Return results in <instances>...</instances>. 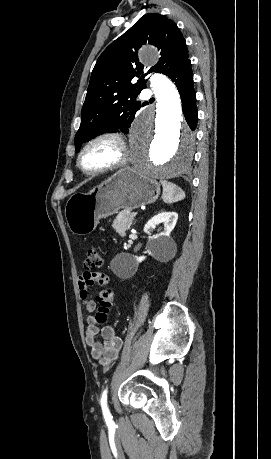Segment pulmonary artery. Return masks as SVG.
<instances>
[{
  "label": "pulmonary artery",
  "mask_w": 271,
  "mask_h": 459,
  "mask_svg": "<svg viewBox=\"0 0 271 459\" xmlns=\"http://www.w3.org/2000/svg\"><path fill=\"white\" fill-rule=\"evenodd\" d=\"M142 97L140 98V101L143 104H146L149 101V97L151 96V91L149 89H144L141 92Z\"/></svg>",
  "instance_id": "e3ab8cb5"
}]
</instances>
